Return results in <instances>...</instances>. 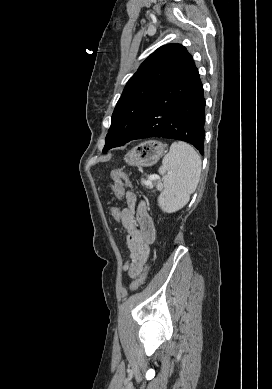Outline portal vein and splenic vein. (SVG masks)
<instances>
[{"mask_svg":"<svg viewBox=\"0 0 272 389\" xmlns=\"http://www.w3.org/2000/svg\"><path fill=\"white\" fill-rule=\"evenodd\" d=\"M158 179H160V177L158 175H152L146 181V185L147 186H152V180H158Z\"/></svg>","mask_w":272,"mask_h":389,"instance_id":"portal-vein-and-splenic-vein-1","label":"portal vein and splenic vein"}]
</instances>
